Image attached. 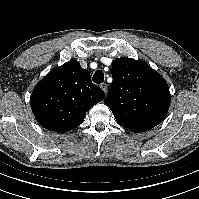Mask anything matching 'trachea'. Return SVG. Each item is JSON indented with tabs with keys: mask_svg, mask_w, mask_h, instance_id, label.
Masks as SVG:
<instances>
[{
	"mask_svg": "<svg viewBox=\"0 0 199 199\" xmlns=\"http://www.w3.org/2000/svg\"><path fill=\"white\" fill-rule=\"evenodd\" d=\"M93 82L100 84L104 81V73L101 70H97L93 75Z\"/></svg>",
	"mask_w": 199,
	"mask_h": 199,
	"instance_id": "trachea-1",
	"label": "trachea"
}]
</instances>
